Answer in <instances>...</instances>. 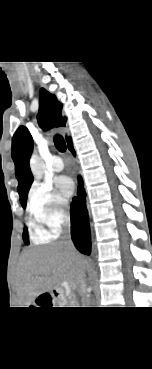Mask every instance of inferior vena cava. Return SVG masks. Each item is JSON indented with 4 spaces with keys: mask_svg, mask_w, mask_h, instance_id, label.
Returning <instances> with one entry per match:
<instances>
[{
    "mask_svg": "<svg viewBox=\"0 0 152 369\" xmlns=\"http://www.w3.org/2000/svg\"><path fill=\"white\" fill-rule=\"evenodd\" d=\"M62 226H63V236L61 243L67 246L69 249H74L70 234V218L68 216H65ZM83 277H85V274L83 275ZM81 283L82 284L85 283L83 278L81 280Z\"/></svg>",
    "mask_w": 152,
    "mask_h": 369,
    "instance_id": "1",
    "label": "inferior vena cava"
}]
</instances>
